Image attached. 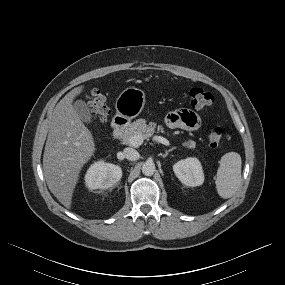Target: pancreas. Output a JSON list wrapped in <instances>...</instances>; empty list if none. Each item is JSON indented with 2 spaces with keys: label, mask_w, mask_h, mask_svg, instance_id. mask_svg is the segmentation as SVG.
<instances>
[{
  "label": "pancreas",
  "mask_w": 285,
  "mask_h": 285,
  "mask_svg": "<svg viewBox=\"0 0 285 285\" xmlns=\"http://www.w3.org/2000/svg\"><path fill=\"white\" fill-rule=\"evenodd\" d=\"M156 123L150 122L149 124H146L145 119H138L131 123L128 128L124 131V133L121 135V139L124 143L128 144L129 139L135 135H141L144 139H147L152 136V134L155 132ZM158 132H164V128L159 125L157 127ZM183 146L189 149H194L196 146L195 141L189 140L183 143Z\"/></svg>",
  "instance_id": "cf45deb5"
}]
</instances>
